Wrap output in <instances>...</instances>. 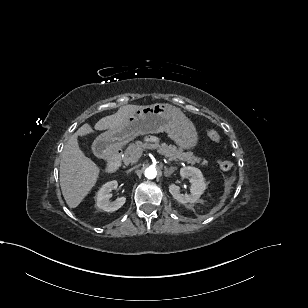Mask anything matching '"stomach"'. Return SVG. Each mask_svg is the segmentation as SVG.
<instances>
[{"label": "stomach", "mask_w": 308, "mask_h": 308, "mask_svg": "<svg viewBox=\"0 0 308 308\" xmlns=\"http://www.w3.org/2000/svg\"><path fill=\"white\" fill-rule=\"evenodd\" d=\"M166 132L181 149H193L198 143L194 124L177 107L156 103L135 110L125 122L99 135L94 147L101 153L123 146L138 135Z\"/></svg>", "instance_id": "1"}]
</instances>
